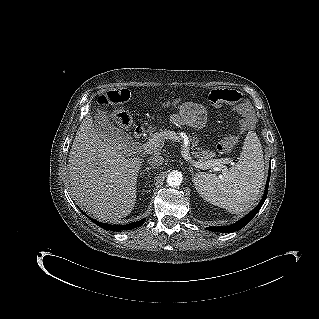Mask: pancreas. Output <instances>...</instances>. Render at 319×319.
<instances>
[{"label":"pancreas","instance_id":"1","mask_svg":"<svg viewBox=\"0 0 319 319\" xmlns=\"http://www.w3.org/2000/svg\"><path fill=\"white\" fill-rule=\"evenodd\" d=\"M155 131H156L155 128L148 129V133L150 137H152V139L156 134ZM188 138L190 142V149L192 150V155L194 156V158L199 160V162L208 164L218 160V159H214L216 155L213 151L205 150V149H202V147L198 146V141L194 137L189 136ZM163 141L164 139H161L159 148L162 147Z\"/></svg>","mask_w":319,"mask_h":319}]
</instances>
